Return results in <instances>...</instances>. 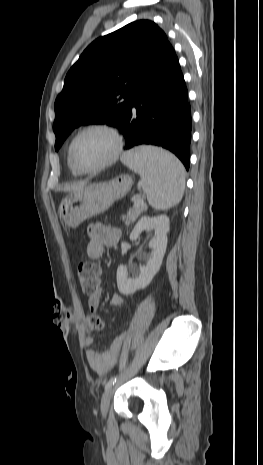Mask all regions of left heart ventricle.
<instances>
[{
    "label": "left heart ventricle",
    "instance_id": "1",
    "mask_svg": "<svg viewBox=\"0 0 263 465\" xmlns=\"http://www.w3.org/2000/svg\"><path fill=\"white\" fill-rule=\"evenodd\" d=\"M115 143L110 134L92 130L81 135L74 145V158L83 168H94L111 157Z\"/></svg>",
    "mask_w": 263,
    "mask_h": 465
}]
</instances>
